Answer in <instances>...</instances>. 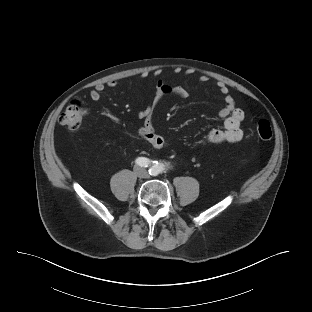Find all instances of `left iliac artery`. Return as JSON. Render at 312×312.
I'll use <instances>...</instances> for the list:
<instances>
[{
  "instance_id": "1",
  "label": "left iliac artery",
  "mask_w": 312,
  "mask_h": 312,
  "mask_svg": "<svg viewBox=\"0 0 312 312\" xmlns=\"http://www.w3.org/2000/svg\"><path fill=\"white\" fill-rule=\"evenodd\" d=\"M153 163H155V164H154V166L152 168H150L149 173L151 175H156V174H158L160 167L158 166V162L157 161H154Z\"/></svg>"
}]
</instances>
